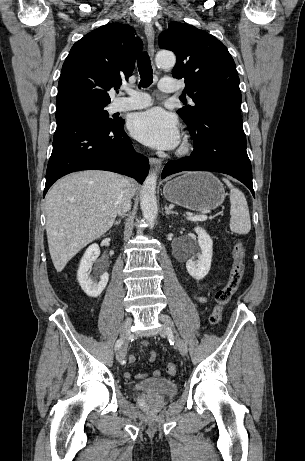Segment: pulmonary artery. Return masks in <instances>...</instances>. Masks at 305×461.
<instances>
[{
	"label": "pulmonary artery",
	"mask_w": 305,
	"mask_h": 461,
	"mask_svg": "<svg viewBox=\"0 0 305 461\" xmlns=\"http://www.w3.org/2000/svg\"><path fill=\"white\" fill-rule=\"evenodd\" d=\"M159 89L162 92L173 93L178 91L179 87L173 78H162L159 83ZM128 97H119L112 103V109L115 112L142 109L151 105L152 101L148 94L138 91H126Z\"/></svg>",
	"instance_id": "e3ab8cb5"
}]
</instances>
